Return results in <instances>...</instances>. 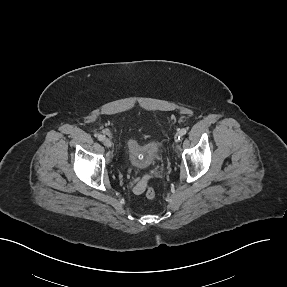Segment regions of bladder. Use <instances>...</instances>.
<instances>
[{
    "instance_id": "obj_1",
    "label": "bladder",
    "mask_w": 287,
    "mask_h": 287,
    "mask_svg": "<svg viewBox=\"0 0 287 287\" xmlns=\"http://www.w3.org/2000/svg\"><path fill=\"white\" fill-rule=\"evenodd\" d=\"M128 164L136 169H148L155 164L159 155L157 142L141 144L135 139H129L126 145Z\"/></svg>"
}]
</instances>
